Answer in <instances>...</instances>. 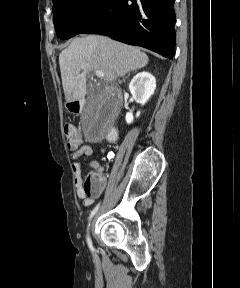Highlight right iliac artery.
Instances as JSON below:
<instances>
[{"instance_id":"right-iliac-artery-1","label":"right iliac artery","mask_w":240,"mask_h":288,"mask_svg":"<svg viewBox=\"0 0 240 288\" xmlns=\"http://www.w3.org/2000/svg\"><path fill=\"white\" fill-rule=\"evenodd\" d=\"M99 206H100V203H98L97 205H96V207L91 211V213H90V215H89V221L92 219V217L95 215V213L98 211V209H99ZM87 244H88V246H89V248L92 250V251H94V248H93V245H92V241H91V238H90V236H89V234H87Z\"/></svg>"}]
</instances>
